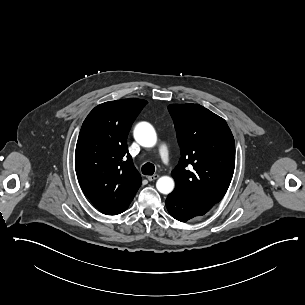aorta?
Here are the masks:
<instances>
[{
	"mask_svg": "<svg viewBox=\"0 0 305 305\" xmlns=\"http://www.w3.org/2000/svg\"><path fill=\"white\" fill-rule=\"evenodd\" d=\"M134 138L143 147H153L157 142V135L153 126L147 122H140L134 129ZM175 186L174 180L169 176H162L156 182L157 190L162 194H169Z\"/></svg>",
	"mask_w": 305,
	"mask_h": 305,
	"instance_id": "obj_1",
	"label": "aorta"
}]
</instances>
